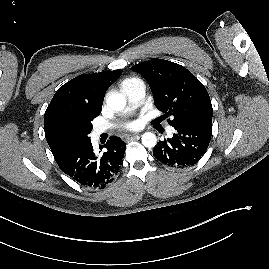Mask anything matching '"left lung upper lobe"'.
<instances>
[{
	"instance_id": "5c2ea615",
	"label": "left lung upper lobe",
	"mask_w": 269,
	"mask_h": 269,
	"mask_svg": "<svg viewBox=\"0 0 269 269\" xmlns=\"http://www.w3.org/2000/svg\"><path fill=\"white\" fill-rule=\"evenodd\" d=\"M149 83L156 107L175 127L212 125L213 109L204 85L185 67L163 59H151L131 68Z\"/></svg>"
}]
</instances>
